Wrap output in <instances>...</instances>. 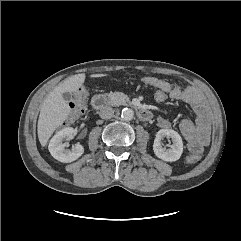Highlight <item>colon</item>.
Returning <instances> with one entry per match:
<instances>
[{"label":"colon","mask_w":241,"mask_h":241,"mask_svg":"<svg viewBox=\"0 0 241 241\" xmlns=\"http://www.w3.org/2000/svg\"><path fill=\"white\" fill-rule=\"evenodd\" d=\"M153 99L157 103L162 104V103H165L168 101L169 94L161 88H155V90L153 92ZM70 107H71V112H70V116L68 118V122L73 123L76 120H78L86 110L87 93L85 91L78 92L73 97ZM199 158L200 157L196 154H189L185 157V160H186V162L193 164V163L198 162Z\"/></svg>","instance_id":"1"}]
</instances>
